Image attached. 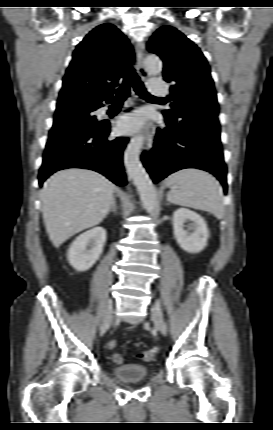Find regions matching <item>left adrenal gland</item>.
I'll use <instances>...</instances> for the list:
<instances>
[{"label":"left adrenal gland","mask_w":273,"mask_h":430,"mask_svg":"<svg viewBox=\"0 0 273 430\" xmlns=\"http://www.w3.org/2000/svg\"><path fill=\"white\" fill-rule=\"evenodd\" d=\"M166 205H167V206H169V205H170V203H166Z\"/></svg>","instance_id":"1"}]
</instances>
